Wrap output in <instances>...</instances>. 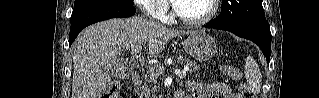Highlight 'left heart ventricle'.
Listing matches in <instances>:
<instances>
[{"instance_id": "b2bd125f", "label": "left heart ventricle", "mask_w": 319, "mask_h": 98, "mask_svg": "<svg viewBox=\"0 0 319 98\" xmlns=\"http://www.w3.org/2000/svg\"><path fill=\"white\" fill-rule=\"evenodd\" d=\"M210 9L209 0H183L177 5L178 12L189 19L204 16Z\"/></svg>"}]
</instances>
